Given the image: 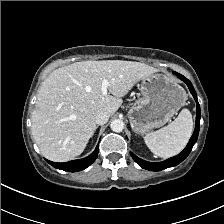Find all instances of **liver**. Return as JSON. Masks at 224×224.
<instances>
[{"label":"liver","instance_id":"liver-1","mask_svg":"<svg viewBox=\"0 0 224 224\" xmlns=\"http://www.w3.org/2000/svg\"><path fill=\"white\" fill-rule=\"evenodd\" d=\"M156 69L122 60L81 61L54 70L42 83L32 113V135L55 162L80 155L97 129V113L114 114L129 90ZM111 95H102V81Z\"/></svg>","mask_w":224,"mask_h":224}]
</instances>
